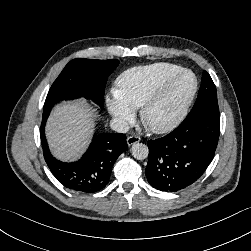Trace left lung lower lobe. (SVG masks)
<instances>
[{
    "instance_id": "obj_1",
    "label": "left lung lower lobe",
    "mask_w": 251,
    "mask_h": 251,
    "mask_svg": "<svg viewBox=\"0 0 251 251\" xmlns=\"http://www.w3.org/2000/svg\"><path fill=\"white\" fill-rule=\"evenodd\" d=\"M219 133L220 116L188 114L171 133L148 141L145 173L149 184L167 192L192 185L214 158Z\"/></svg>"
}]
</instances>
